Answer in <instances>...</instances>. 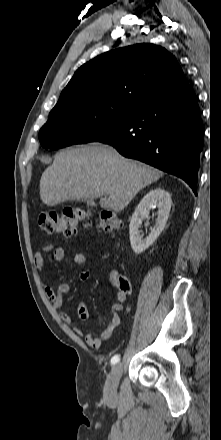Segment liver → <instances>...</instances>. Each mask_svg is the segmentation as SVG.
I'll return each instance as SVG.
<instances>
[{"label":"liver","mask_w":221,"mask_h":440,"mask_svg":"<svg viewBox=\"0 0 221 440\" xmlns=\"http://www.w3.org/2000/svg\"><path fill=\"white\" fill-rule=\"evenodd\" d=\"M163 173L122 157L99 143L60 151L42 174L40 198L47 206L100 198L103 209L122 211L136 194Z\"/></svg>","instance_id":"liver-1"}]
</instances>
